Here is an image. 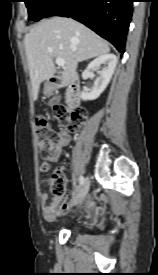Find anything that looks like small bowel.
Listing matches in <instances>:
<instances>
[{"mask_svg":"<svg viewBox=\"0 0 158 275\" xmlns=\"http://www.w3.org/2000/svg\"><path fill=\"white\" fill-rule=\"evenodd\" d=\"M71 141V134L67 129H61L58 132V139L46 156L45 161L41 164L40 170L46 172L49 170L50 164L58 161L59 157L62 154L63 148L69 144ZM58 170L63 171L64 168L60 167ZM75 194L74 190L70 191L68 195L64 198H55L50 204H48V197L45 193H42L40 196L41 199V208L43 217L46 220H53L55 217L62 212L70 208L71 203L76 199V197L71 201L72 196ZM85 198V197H84ZM84 200V199H83ZM82 200V201H83ZM81 201V202H82ZM80 203V202H79ZM83 209L86 212H91L97 207V203L93 199H89L83 203Z\"/></svg>","mask_w":158,"mask_h":275,"instance_id":"small-bowel-1","label":"small bowel"}]
</instances>
